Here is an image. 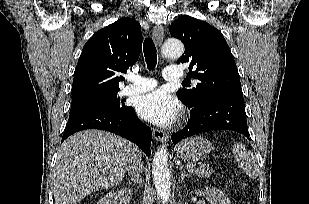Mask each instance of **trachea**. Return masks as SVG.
Wrapping results in <instances>:
<instances>
[{"mask_svg":"<svg viewBox=\"0 0 309 204\" xmlns=\"http://www.w3.org/2000/svg\"><path fill=\"white\" fill-rule=\"evenodd\" d=\"M143 52L147 67L149 70H153L157 64V50L154 42L151 38H146L143 44ZM184 84L189 83L188 81H183Z\"/></svg>","mask_w":309,"mask_h":204,"instance_id":"3493384b","label":"trachea"}]
</instances>
